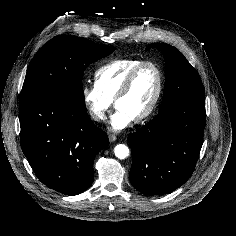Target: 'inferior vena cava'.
<instances>
[{
  "label": "inferior vena cava",
  "instance_id": "obj_1",
  "mask_svg": "<svg viewBox=\"0 0 236 236\" xmlns=\"http://www.w3.org/2000/svg\"><path fill=\"white\" fill-rule=\"evenodd\" d=\"M93 117L97 118V116L95 114H93Z\"/></svg>",
  "mask_w": 236,
  "mask_h": 236
}]
</instances>
